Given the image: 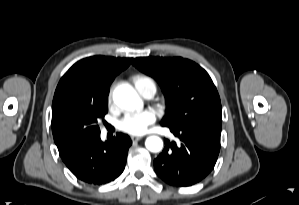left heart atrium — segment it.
<instances>
[{
  "label": "left heart atrium",
  "mask_w": 299,
  "mask_h": 205,
  "mask_svg": "<svg viewBox=\"0 0 299 205\" xmlns=\"http://www.w3.org/2000/svg\"><path fill=\"white\" fill-rule=\"evenodd\" d=\"M156 120L154 112L146 110L143 112L132 113L126 115L119 122V129L134 135L143 134L147 127Z\"/></svg>",
  "instance_id": "39dd6f15"
}]
</instances>
